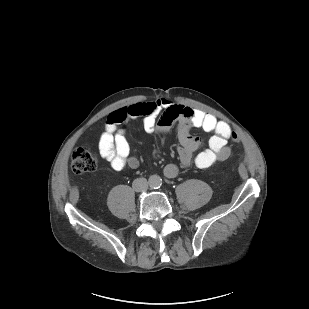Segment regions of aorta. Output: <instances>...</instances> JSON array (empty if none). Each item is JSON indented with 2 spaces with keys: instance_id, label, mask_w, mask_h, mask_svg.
Instances as JSON below:
<instances>
[{
  "instance_id": "aorta-1",
  "label": "aorta",
  "mask_w": 309,
  "mask_h": 309,
  "mask_svg": "<svg viewBox=\"0 0 309 309\" xmlns=\"http://www.w3.org/2000/svg\"><path fill=\"white\" fill-rule=\"evenodd\" d=\"M149 186L152 188H158L162 184V179L158 175H151L148 180Z\"/></svg>"
}]
</instances>
